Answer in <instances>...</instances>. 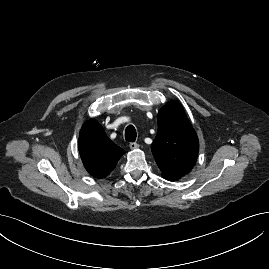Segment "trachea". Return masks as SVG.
<instances>
[{
  "label": "trachea",
  "instance_id": "1",
  "mask_svg": "<svg viewBox=\"0 0 269 269\" xmlns=\"http://www.w3.org/2000/svg\"><path fill=\"white\" fill-rule=\"evenodd\" d=\"M125 139L129 142L136 140V130L133 125H129L125 130Z\"/></svg>",
  "mask_w": 269,
  "mask_h": 269
}]
</instances>
